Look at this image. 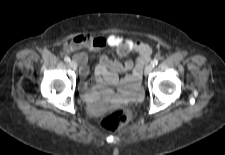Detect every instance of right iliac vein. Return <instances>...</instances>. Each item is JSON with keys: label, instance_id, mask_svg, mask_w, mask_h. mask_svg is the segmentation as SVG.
Here are the masks:
<instances>
[{"label": "right iliac vein", "instance_id": "63e3f726", "mask_svg": "<svg viewBox=\"0 0 225 155\" xmlns=\"http://www.w3.org/2000/svg\"><path fill=\"white\" fill-rule=\"evenodd\" d=\"M70 67H71L72 69L76 70V69H77V63H76V61L72 60V61L70 62Z\"/></svg>", "mask_w": 225, "mask_h": 155}]
</instances>
